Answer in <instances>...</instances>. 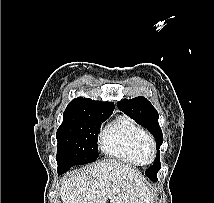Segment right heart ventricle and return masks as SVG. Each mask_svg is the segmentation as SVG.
<instances>
[{"label":"right heart ventricle","mask_w":214,"mask_h":203,"mask_svg":"<svg viewBox=\"0 0 214 203\" xmlns=\"http://www.w3.org/2000/svg\"><path fill=\"white\" fill-rule=\"evenodd\" d=\"M147 135L145 130L128 116H119L101 133L102 151L132 165L145 164L139 153V144Z\"/></svg>","instance_id":"1"}]
</instances>
